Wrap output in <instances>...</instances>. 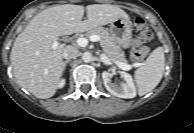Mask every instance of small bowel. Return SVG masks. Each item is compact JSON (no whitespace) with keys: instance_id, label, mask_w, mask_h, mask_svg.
Instances as JSON below:
<instances>
[{"instance_id":"obj_1","label":"small bowel","mask_w":194,"mask_h":133,"mask_svg":"<svg viewBox=\"0 0 194 133\" xmlns=\"http://www.w3.org/2000/svg\"><path fill=\"white\" fill-rule=\"evenodd\" d=\"M135 44H136V45H138V44H139V42H138V41H136V42H135Z\"/></svg>"}]
</instances>
